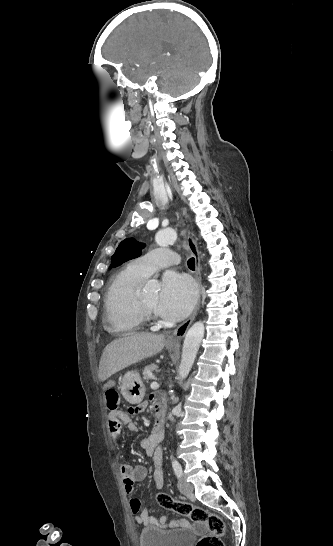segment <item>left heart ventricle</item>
Masks as SVG:
<instances>
[{
	"label": "left heart ventricle",
	"instance_id": "1",
	"mask_svg": "<svg viewBox=\"0 0 333 546\" xmlns=\"http://www.w3.org/2000/svg\"><path fill=\"white\" fill-rule=\"evenodd\" d=\"M141 298L144 302V304L153 309L154 311H156V306H157V302H158V293L157 292H151V293H147V294H143L141 295Z\"/></svg>",
	"mask_w": 333,
	"mask_h": 546
}]
</instances>
